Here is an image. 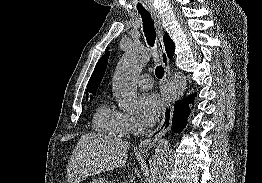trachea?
Here are the masks:
<instances>
[{
  "mask_svg": "<svg viewBox=\"0 0 262 183\" xmlns=\"http://www.w3.org/2000/svg\"><path fill=\"white\" fill-rule=\"evenodd\" d=\"M143 22V31L147 40V43L153 47L156 40V32L154 28V23L150 14L146 11L140 12ZM155 74L158 79H161L164 75V69L162 66H157L155 69Z\"/></svg>",
  "mask_w": 262,
  "mask_h": 183,
  "instance_id": "obj_1",
  "label": "trachea"
}]
</instances>
